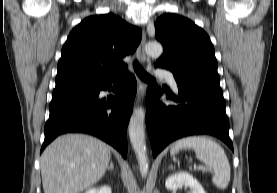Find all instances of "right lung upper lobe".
<instances>
[{"label": "right lung upper lobe", "mask_w": 277, "mask_h": 193, "mask_svg": "<svg viewBox=\"0 0 277 193\" xmlns=\"http://www.w3.org/2000/svg\"><path fill=\"white\" fill-rule=\"evenodd\" d=\"M141 37L139 28L115 14L85 18L62 48L56 87L96 82L124 71L123 57L134 52Z\"/></svg>", "instance_id": "1"}]
</instances>
